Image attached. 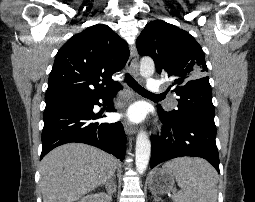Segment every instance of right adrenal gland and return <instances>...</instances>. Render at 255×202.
<instances>
[{"instance_id": "obj_1", "label": "right adrenal gland", "mask_w": 255, "mask_h": 202, "mask_svg": "<svg viewBox=\"0 0 255 202\" xmlns=\"http://www.w3.org/2000/svg\"><path fill=\"white\" fill-rule=\"evenodd\" d=\"M115 177H112L109 182L110 184L113 186V189L112 190H109L108 187H107V184H102L100 187L102 186H105L108 194L111 196L112 193H115L116 192V189H117V185H116V182L114 181Z\"/></svg>"}]
</instances>
